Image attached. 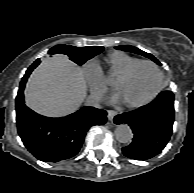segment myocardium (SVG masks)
Here are the masks:
<instances>
[{
    "instance_id": "myocardium-1",
    "label": "myocardium",
    "mask_w": 194,
    "mask_h": 193,
    "mask_svg": "<svg viewBox=\"0 0 194 193\" xmlns=\"http://www.w3.org/2000/svg\"><path fill=\"white\" fill-rule=\"evenodd\" d=\"M142 65H150L157 71V73H158V85H157L155 91L152 93V95L144 101H141L138 103L123 102L124 105L128 108H139V107L148 105L149 103H151L152 101H154L157 98V96L159 95V93L161 92V90L163 88L164 74H163L161 68L159 67V65L151 60H141V61L135 63L134 65H132L130 68H128L124 73H122L116 79V81L114 83L115 91L118 92L119 85L121 83L127 81L132 76V74Z\"/></svg>"
}]
</instances>
